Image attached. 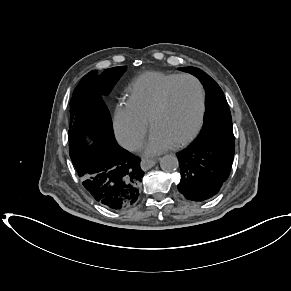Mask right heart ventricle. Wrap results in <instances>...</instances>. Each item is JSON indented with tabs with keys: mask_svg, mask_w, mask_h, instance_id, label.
Wrapping results in <instances>:
<instances>
[{
	"mask_svg": "<svg viewBox=\"0 0 291 291\" xmlns=\"http://www.w3.org/2000/svg\"><path fill=\"white\" fill-rule=\"evenodd\" d=\"M177 76L176 74L148 72L136 78L128 90L127 98V104L133 114L148 122L162 91Z\"/></svg>",
	"mask_w": 291,
	"mask_h": 291,
	"instance_id": "e07e8e85",
	"label": "right heart ventricle"
}]
</instances>
